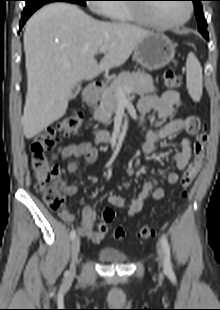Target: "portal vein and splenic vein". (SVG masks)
Masks as SVG:
<instances>
[{"instance_id": "1", "label": "portal vein and splenic vein", "mask_w": 220, "mask_h": 310, "mask_svg": "<svg viewBox=\"0 0 220 310\" xmlns=\"http://www.w3.org/2000/svg\"><path fill=\"white\" fill-rule=\"evenodd\" d=\"M99 51H100V53H106V51H107V48L106 47H101L100 49H99ZM132 89L131 88H124V89H122V88H119L118 89V91H117V96H118V98H122L123 96H124V92L126 91V92H130Z\"/></svg>"}]
</instances>
